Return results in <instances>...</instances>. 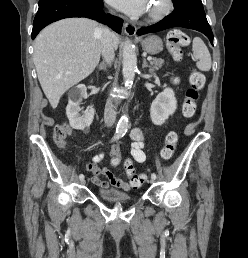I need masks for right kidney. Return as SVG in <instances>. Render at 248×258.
<instances>
[{
    "mask_svg": "<svg viewBox=\"0 0 248 258\" xmlns=\"http://www.w3.org/2000/svg\"><path fill=\"white\" fill-rule=\"evenodd\" d=\"M87 95L85 85H78L69 93V101L66 107V115L70 126L76 130H83L89 127L93 121L95 110L88 107L84 115H80V103L82 98Z\"/></svg>",
    "mask_w": 248,
    "mask_h": 258,
    "instance_id": "right-kidney-1",
    "label": "right kidney"
}]
</instances>
